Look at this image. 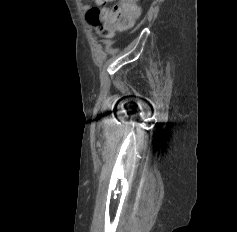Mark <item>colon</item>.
Segmentation results:
<instances>
[{
    "mask_svg": "<svg viewBox=\"0 0 237 232\" xmlns=\"http://www.w3.org/2000/svg\"><path fill=\"white\" fill-rule=\"evenodd\" d=\"M108 2L111 0H102ZM138 0H120L113 7H93L87 12V21L97 34L104 39H111L117 33L131 29L138 16Z\"/></svg>",
    "mask_w": 237,
    "mask_h": 232,
    "instance_id": "obj_1",
    "label": "colon"
}]
</instances>
